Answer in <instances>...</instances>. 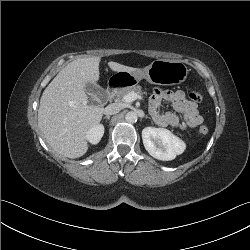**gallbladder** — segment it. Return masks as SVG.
<instances>
[{"instance_id": "bac80fb5", "label": "gallbladder", "mask_w": 250, "mask_h": 250, "mask_svg": "<svg viewBox=\"0 0 250 250\" xmlns=\"http://www.w3.org/2000/svg\"><path fill=\"white\" fill-rule=\"evenodd\" d=\"M85 91L91 95H99L104 93V90L96 83H88L85 87ZM92 103L96 104L95 101H92Z\"/></svg>"}]
</instances>
